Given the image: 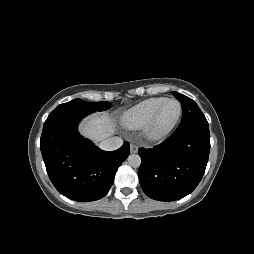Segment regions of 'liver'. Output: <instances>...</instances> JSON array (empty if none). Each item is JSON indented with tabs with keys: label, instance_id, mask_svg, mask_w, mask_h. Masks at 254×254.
I'll list each match as a JSON object with an SVG mask.
<instances>
[{
	"label": "liver",
	"instance_id": "obj_1",
	"mask_svg": "<svg viewBox=\"0 0 254 254\" xmlns=\"http://www.w3.org/2000/svg\"><path fill=\"white\" fill-rule=\"evenodd\" d=\"M115 123L107 115L94 114L88 117L80 126V132L93 140L100 142L115 133Z\"/></svg>",
	"mask_w": 254,
	"mask_h": 254
}]
</instances>
